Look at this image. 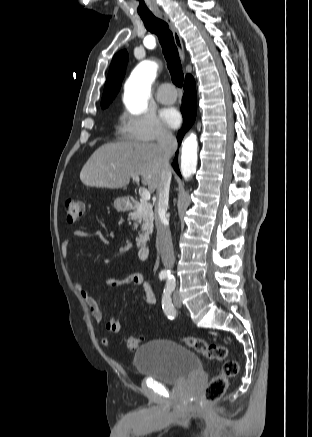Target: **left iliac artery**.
Listing matches in <instances>:
<instances>
[{"instance_id": "left-iliac-artery-1", "label": "left iliac artery", "mask_w": 312, "mask_h": 437, "mask_svg": "<svg viewBox=\"0 0 312 437\" xmlns=\"http://www.w3.org/2000/svg\"><path fill=\"white\" fill-rule=\"evenodd\" d=\"M175 289V279L169 277L162 296V308L168 318L172 319L176 315V311L171 301V293Z\"/></svg>"}]
</instances>
